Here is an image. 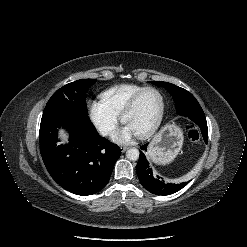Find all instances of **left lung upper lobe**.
<instances>
[{
	"mask_svg": "<svg viewBox=\"0 0 247 247\" xmlns=\"http://www.w3.org/2000/svg\"><path fill=\"white\" fill-rule=\"evenodd\" d=\"M156 86L164 87L173 97L177 112L188 120L197 124L198 121L206 119L205 114L196 98L187 90L174 84L152 81Z\"/></svg>",
	"mask_w": 247,
	"mask_h": 247,
	"instance_id": "1",
	"label": "left lung upper lobe"
}]
</instances>
